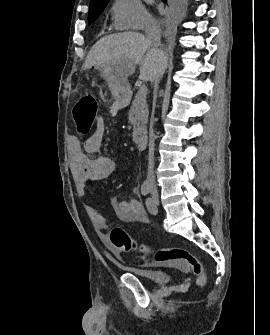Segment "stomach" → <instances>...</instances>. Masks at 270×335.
<instances>
[{
    "label": "stomach",
    "instance_id": "1",
    "mask_svg": "<svg viewBox=\"0 0 270 335\" xmlns=\"http://www.w3.org/2000/svg\"><path fill=\"white\" fill-rule=\"evenodd\" d=\"M102 72L105 80L108 82L109 90L112 94V100H114L115 104L117 102L121 108L127 106L130 100V88L128 84H124V82H120L118 78H114L112 68H104Z\"/></svg>",
    "mask_w": 270,
    "mask_h": 335
}]
</instances>
